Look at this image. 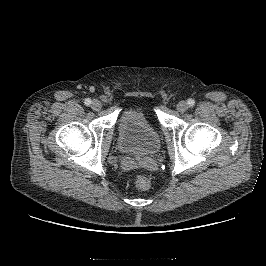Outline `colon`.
Listing matches in <instances>:
<instances>
[{
    "instance_id": "colon-1",
    "label": "colon",
    "mask_w": 266,
    "mask_h": 266,
    "mask_svg": "<svg viewBox=\"0 0 266 266\" xmlns=\"http://www.w3.org/2000/svg\"><path fill=\"white\" fill-rule=\"evenodd\" d=\"M150 179L145 174H137L135 176V186L140 190H147L150 187Z\"/></svg>"
}]
</instances>
